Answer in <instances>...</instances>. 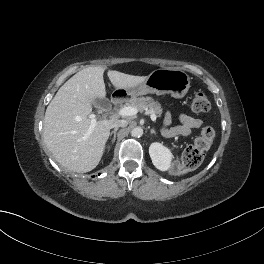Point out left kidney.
<instances>
[{
  "instance_id": "1",
  "label": "left kidney",
  "mask_w": 264,
  "mask_h": 264,
  "mask_svg": "<svg viewBox=\"0 0 264 264\" xmlns=\"http://www.w3.org/2000/svg\"><path fill=\"white\" fill-rule=\"evenodd\" d=\"M149 154L152 163L157 169L166 171L171 167L173 155L163 144L158 142L152 143L149 147Z\"/></svg>"
}]
</instances>
